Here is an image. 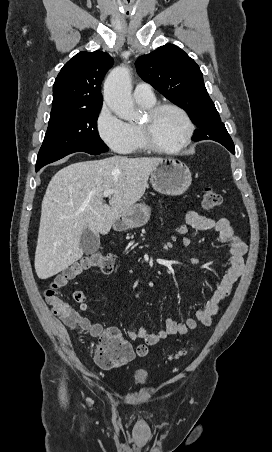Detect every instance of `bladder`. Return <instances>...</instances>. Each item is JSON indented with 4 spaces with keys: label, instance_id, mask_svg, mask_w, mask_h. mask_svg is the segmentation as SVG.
Masks as SVG:
<instances>
[{
    "label": "bladder",
    "instance_id": "1",
    "mask_svg": "<svg viewBox=\"0 0 272 452\" xmlns=\"http://www.w3.org/2000/svg\"><path fill=\"white\" fill-rule=\"evenodd\" d=\"M149 378V373L148 371L144 370V369H137L133 372V379L135 381V383H137L138 385H143L147 382Z\"/></svg>",
    "mask_w": 272,
    "mask_h": 452
}]
</instances>
